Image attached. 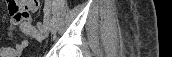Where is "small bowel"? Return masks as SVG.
I'll return each mask as SVG.
<instances>
[{
    "label": "small bowel",
    "instance_id": "1",
    "mask_svg": "<svg viewBox=\"0 0 172 57\" xmlns=\"http://www.w3.org/2000/svg\"><path fill=\"white\" fill-rule=\"evenodd\" d=\"M40 1L38 0H26L15 1L9 7L10 11V23L8 26V35L13 37L16 26L25 22V27L29 29L31 27L30 14L38 10ZM29 40L27 38L18 42L15 46L0 47L1 57H18L22 51L27 47Z\"/></svg>",
    "mask_w": 172,
    "mask_h": 57
}]
</instances>
